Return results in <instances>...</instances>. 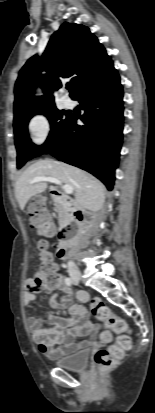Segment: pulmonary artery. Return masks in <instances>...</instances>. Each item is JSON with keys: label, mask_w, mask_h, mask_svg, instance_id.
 <instances>
[{"label": "pulmonary artery", "mask_w": 155, "mask_h": 413, "mask_svg": "<svg viewBox=\"0 0 155 413\" xmlns=\"http://www.w3.org/2000/svg\"><path fill=\"white\" fill-rule=\"evenodd\" d=\"M63 104L67 108L73 107V101L69 97H64L63 98Z\"/></svg>", "instance_id": "e3ab8cb5"}]
</instances>
